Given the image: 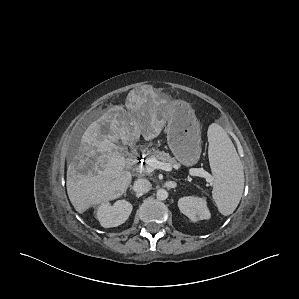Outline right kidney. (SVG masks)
<instances>
[{"instance_id": "ca27d5eb", "label": "right kidney", "mask_w": 299, "mask_h": 299, "mask_svg": "<svg viewBox=\"0 0 299 299\" xmlns=\"http://www.w3.org/2000/svg\"><path fill=\"white\" fill-rule=\"evenodd\" d=\"M132 211V205L126 200H118L113 205L102 203L97 208V219L104 228L117 227L123 224Z\"/></svg>"}]
</instances>
